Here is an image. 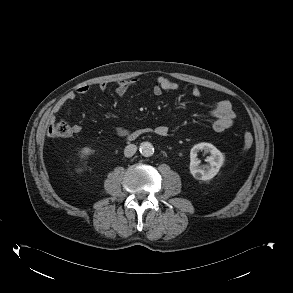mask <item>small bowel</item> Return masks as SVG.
Returning a JSON list of instances; mask_svg holds the SVG:
<instances>
[{
  "label": "small bowel",
  "mask_w": 293,
  "mask_h": 293,
  "mask_svg": "<svg viewBox=\"0 0 293 293\" xmlns=\"http://www.w3.org/2000/svg\"><path fill=\"white\" fill-rule=\"evenodd\" d=\"M138 79L122 80L116 84L115 92L119 96H123L130 88L137 85ZM107 88L106 83H100L98 89L100 91H105ZM179 89V84L175 81L170 80L164 76H158L151 88V93L153 96H159L163 92L177 91ZM90 87L87 85L77 88L75 91L69 92L64 98H62L52 109L51 121L55 114L61 111L64 105L76 99L78 95H84L88 93ZM194 97H199L201 95V90L198 86H194L191 90ZM210 115L214 119L213 130L217 133H221L233 125L235 120V113L233 111L232 105L228 100H220L211 109ZM82 131V127L79 124H74L71 127V132L69 135L79 134ZM116 132L119 136H126L129 131L126 128L118 127ZM154 132L160 136H166L169 133V128L166 125H159L154 129Z\"/></svg>",
  "instance_id": "c3829d8e"
}]
</instances>
